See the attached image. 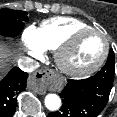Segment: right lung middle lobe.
<instances>
[{"instance_id": "dd1d6c3e", "label": "right lung middle lobe", "mask_w": 117, "mask_h": 117, "mask_svg": "<svg viewBox=\"0 0 117 117\" xmlns=\"http://www.w3.org/2000/svg\"><path fill=\"white\" fill-rule=\"evenodd\" d=\"M27 12L12 9H0V35L16 37L28 21Z\"/></svg>"}]
</instances>
